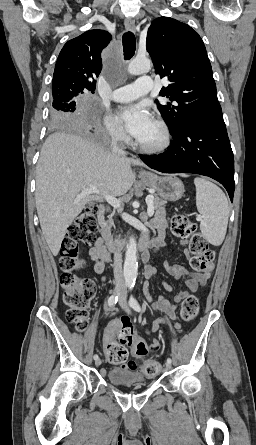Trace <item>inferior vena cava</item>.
<instances>
[{"label": "inferior vena cava", "instance_id": "602c4592", "mask_svg": "<svg viewBox=\"0 0 256 445\" xmlns=\"http://www.w3.org/2000/svg\"><path fill=\"white\" fill-rule=\"evenodd\" d=\"M121 132L119 130H116L115 132H113L111 134V148L113 151L116 152H123L122 149H120L118 147V140L120 137ZM115 243L118 245L119 244V239H115ZM113 270H114V280H113V284L115 285V290L118 292H126V287H125V281H124V274H123V270H122V253L119 249H116L114 252V265H113Z\"/></svg>", "mask_w": 256, "mask_h": 445}]
</instances>
